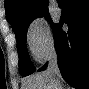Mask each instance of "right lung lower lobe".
Returning <instances> with one entry per match:
<instances>
[{"mask_svg":"<svg viewBox=\"0 0 89 89\" xmlns=\"http://www.w3.org/2000/svg\"><path fill=\"white\" fill-rule=\"evenodd\" d=\"M63 23L69 27L62 30ZM58 66L63 79L77 89L89 88V1L65 0L61 19L53 27ZM47 64L39 69H45Z\"/></svg>","mask_w":89,"mask_h":89,"instance_id":"right-lung-lower-lobe-1","label":"right lung lower lobe"}]
</instances>
